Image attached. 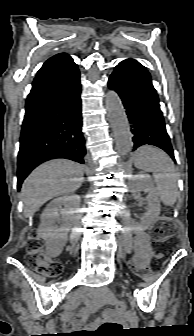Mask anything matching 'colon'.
Listing matches in <instances>:
<instances>
[{
	"mask_svg": "<svg viewBox=\"0 0 194 336\" xmlns=\"http://www.w3.org/2000/svg\"><path fill=\"white\" fill-rule=\"evenodd\" d=\"M175 230L176 228L170 217V213L164 211L159 222L152 230L153 240L157 244L158 258H164L173 252L176 245L174 240ZM26 262L45 277H56L62 272V264L47 253L35 234H31L28 241ZM137 271L139 274L147 276L144 269L141 268ZM115 309L119 313H124L126 306L124 303L118 302L115 305ZM123 330L120 324L108 322L101 325L97 331H94V334L95 336H120Z\"/></svg>",
	"mask_w": 194,
	"mask_h": 336,
	"instance_id": "1",
	"label": "colon"
}]
</instances>
